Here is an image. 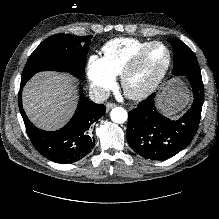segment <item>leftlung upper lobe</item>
<instances>
[{
    "label": "left lung upper lobe",
    "instance_id": "1",
    "mask_svg": "<svg viewBox=\"0 0 219 219\" xmlns=\"http://www.w3.org/2000/svg\"><path fill=\"white\" fill-rule=\"evenodd\" d=\"M168 41L173 47L174 53V74H179L185 71H199V64L192 50L181 40L170 38Z\"/></svg>",
    "mask_w": 219,
    "mask_h": 219
}]
</instances>
